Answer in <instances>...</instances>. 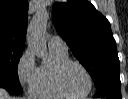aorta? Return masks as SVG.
Returning <instances> with one entry per match:
<instances>
[{"label": "aorta", "instance_id": "aorta-1", "mask_svg": "<svg viewBox=\"0 0 128 99\" xmlns=\"http://www.w3.org/2000/svg\"><path fill=\"white\" fill-rule=\"evenodd\" d=\"M47 19L48 14L45 10L38 11L29 24L27 34L28 47L35 50L36 54L43 59V61L47 59V49L44 38Z\"/></svg>", "mask_w": 128, "mask_h": 99}]
</instances>
